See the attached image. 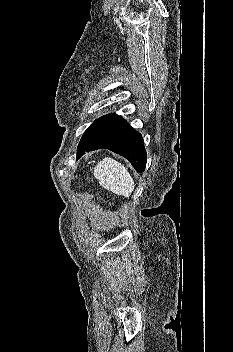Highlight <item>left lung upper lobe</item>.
I'll use <instances>...</instances> for the list:
<instances>
[{
	"mask_svg": "<svg viewBox=\"0 0 233 352\" xmlns=\"http://www.w3.org/2000/svg\"><path fill=\"white\" fill-rule=\"evenodd\" d=\"M121 119L122 117L116 114H108L95 120L81 137L78 150Z\"/></svg>",
	"mask_w": 233,
	"mask_h": 352,
	"instance_id": "obj_1",
	"label": "left lung upper lobe"
}]
</instances>
